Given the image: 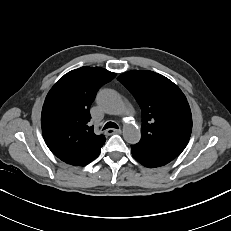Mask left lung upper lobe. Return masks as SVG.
<instances>
[{
	"label": "left lung upper lobe",
	"mask_w": 231,
	"mask_h": 231,
	"mask_svg": "<svg viewBox=\"0 0 231 231\" xmlns=\"http://www.w3.org/2000/svg\"><path fill=\"white\" fill-rule=\"evenodd\" d=\"M142 110L139 146L160 148L179 155L190 139L192 115L185 95L168 78L144 70L118 77Z\"/></svg>",
	"instance_id": "1"
}]
</instances>
